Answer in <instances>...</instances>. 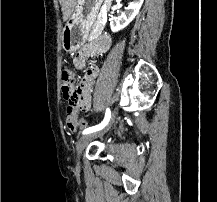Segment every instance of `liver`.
<instances>
[{
	"label": "liver",
	"instance_id": "obj_1",
	"mask_svg": "<svg viewBox=\"0 0 217 202\" xmlns=\"http://www.w3.org/2000/svg\"><path fill=\"white\" fill-rule=\"evenodd\" d=\"M60 6H62L63 22H66L70 18L77 0H59Z\"/></svg>",
	"mask_w": 217,
	"mask_h": 202
}]
</instances>
